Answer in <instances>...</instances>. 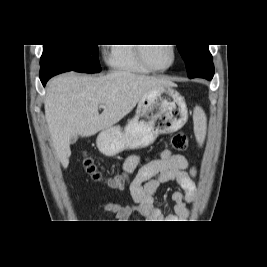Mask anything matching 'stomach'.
<instances>
[{
	"instance_id": "stomach-1",
	"label": "stomach",
	"mask_w": 267,
	"mask_h": 267,
	"mask_svg": "<svg viewBox=\"0 0 267 267\" xmlns=\"http://www.w3.org/2000/svg\"><path fill=\"white\" fill-rule=\"evenodd\" d=\"M187 119L184 98L173 87L150 90L138 102L135 116L124 128L112 126L100 132L97 147L106 156L144 148L160 134L179 130Z\"/></svg>"
}]
</instances>
